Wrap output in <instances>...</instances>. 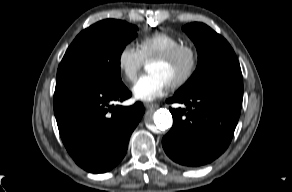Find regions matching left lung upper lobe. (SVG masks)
Masks as SVG:
<instances>
[{"mask_svg": "<svg viewBox=\"0 0 292 192\" xmlns=\"http://www.w3.org/2000/svg\"><path fill=\"white\" fill-rule=\"evenodd\" d=\"M182 29L197 48L198 66L176 94L186 95L217 87L243 88L238 59L230 44L221 35L198 22L187 24Z\"/></svg>", "mask_w": 292, "mask_h": 192, "instance_id": "left-lung-upper-lobe-1", "label": "left lung upper lobe"}]
</instances>
